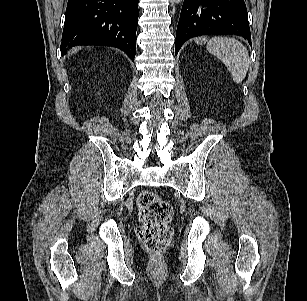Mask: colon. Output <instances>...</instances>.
Masks as SVG:
<instances>
[{
  "instance_id": "colon-1",
  "label": "colon",
  "mask_w": 307,
  "mask_h": 301,
  "mask_svg": "<svg viewBox=\"0 0 307 301\" xmlns=\"http://www.w3.org/2000/svg\"><path fill=\"white\" fill-rule=\"evenodd\" d=\"M138 217L141 222L137 236L144 247L153 253L163 250L170 242L173 230L171 205L153 191H143L137 198Z\"/></svg>"
}]
</instances>
